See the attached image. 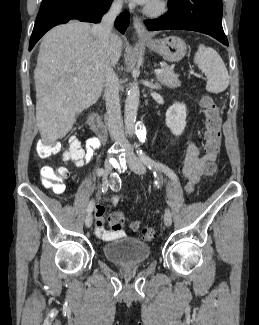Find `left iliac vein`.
<instances>
[{"label": "left iliac vein", "mask_w": 259, "mask_h": 325, "mask_svg": "<svg viewBox=\"0 0 259 325\" xmlns=\"http://www.w3.org/2000/svg\"><path fill=\"white\" fill-rule=\"evenodd\" d=\"M127 163L130 167V169L139 175H142L145 173L146 168L142 161L135 156V154L130 151L127 155ZM164 223L167 227L171 226L172 224V215L171 211L167 208L164 213Z\"/></svg>", "instance_id": "4c4485c4"}]
</instances>
